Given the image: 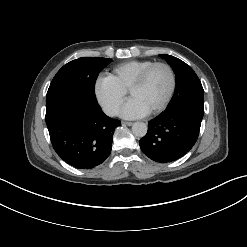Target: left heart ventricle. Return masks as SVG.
Here are the masks:
<instances>
[{"label": "left heart ventricle", "instance_id": "left-heart-ventricle-1", "mask_svg": "<svg viewBox=\"0 0 247 247\" xmlns=\"http://www.w3.org/2000/svg\"><path fill=\"white\" fill-rule=\"evenodd\" d=\"M171 85L169 71L158 66L154 68L142 86L130 92V98L136 99L147 111L157 107L167 96Z\"/></svg>", "mask_w": 247, "mask_h": 247}]
</instances>
